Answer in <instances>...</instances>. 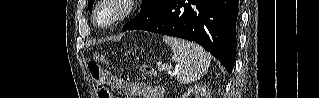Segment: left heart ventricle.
<instances>
[{"label": "left heart ventricle", "instance_id": "left-heart-ventricle-1", "mask_svg": "<svg viewBox=\"0 0 319 98\" xmlns=\"http://www.w3.org/2000/svg\"><path fill=\"white\" fill-rule=\"evenodd\" d=\"M117 8L114 6H106L99 12V20L104 23L112 19L117 14Z\"/></svg>", "mask_w": 319, "mask_h": 98}]
</instances>
